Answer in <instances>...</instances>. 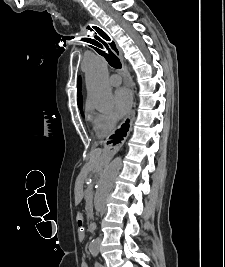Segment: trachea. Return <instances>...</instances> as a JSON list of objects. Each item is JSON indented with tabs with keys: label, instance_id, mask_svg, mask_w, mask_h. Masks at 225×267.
<instances>
[{
	"label": "trachea",
	"instance_id": "3493384b",
	"mask_svg": "<svg viewBox=\"0 0 225 267\" xmlns=\"http://www.w3.org/2000/svg\"><path fill=\"white\" fill-rule=\"evenodd\" d=\"M92 31L90 27H88ZM93 29L99 34L100 37L109 41V36L100 28L93 26ZM99 36L95 35L94 39H90L88 42L91 44V47L94 48L97 53L104 56L108 61L109 65L114 68H121V62L119 58L109 49L106 42H104Z\"/></svg>",
	"mask_w": 225,
	"mask_h": 267
}]
</instances>
